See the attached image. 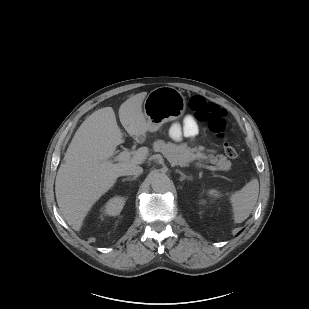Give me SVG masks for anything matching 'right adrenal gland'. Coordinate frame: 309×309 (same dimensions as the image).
<instances>
[{"mask_svg":"<svg viewBox=\"0 0 309 309\" xmlns=\"http://www.w3.org/2000/svg\"><path fill=\"white\" fill-rule=\"evenodd\" d=\"M137 177H138V176H133V177L124 178V179H122V181L124 182V181L136 180Z\"/></svg>","mask_w":309,"mask_h":309,"instance_id":"2a0ac1e0","label":"right adrenal gland"}]
</instances>
